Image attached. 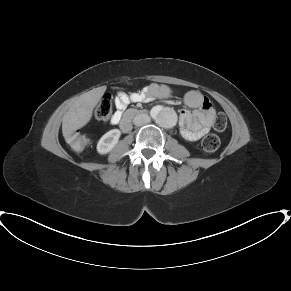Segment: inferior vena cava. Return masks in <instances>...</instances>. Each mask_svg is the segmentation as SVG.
<instances>
[{"instance_id": "obj_1", "label": "inferior vena cava", "mask_w": 291, "mask_h": 291, "mask_svg": "<svg viewBox=\"0 0 291 291\" xmlns=\"http://www.w3.org/2000/svg\"><path fill=\"white\" fill-rule=\"evenodd\" d=\"M150 122V116L148 114H138L134 117L133 123L136 126H143Z\"/></svg>"}]
</instances>
